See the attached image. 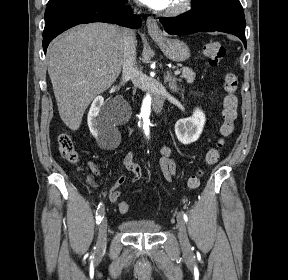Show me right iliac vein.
I'll return each instance as SVG.
<instances>
[{
	"mask_svg": "<svg viewBox=\"0 0 288 280\" xmlns=\"http://www.w3.org/2000/svg\"><path fill=\"white\" fill-rule=\"evenodd\" d=\"M107 244V219L104 218L99 226V231H98V239H97V254H101Z\"/></svg>",
	"mask_w": 288,
	"mask_h": 280,
	"instance_id": "right-iliac-vein-1",
	"label": "right iliac vein"
}]
</instances>
